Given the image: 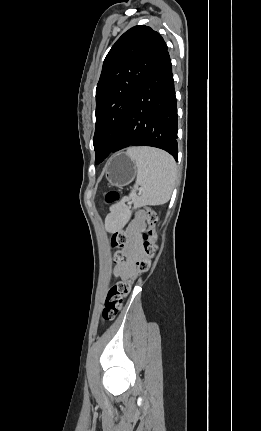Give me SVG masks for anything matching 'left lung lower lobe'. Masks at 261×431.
Here are the masks:
<instances>
[{
  "mask_svg": "<svg viewBox=\"0 0 261 431\" xmlns=\"http://www.w3.org/2000/svg\"><path fill=\"white\" fill-rule=\"evenodd\" d=\"M129 146L157 147L177 160V106L168 51L153 66L136 93L111 152Z\"/></svg>",
  "mask_w": 261,
  "mask_h": 431,
  "instance_id": "1",
  "label": "left lung lower lobe"
}]
</instances>
